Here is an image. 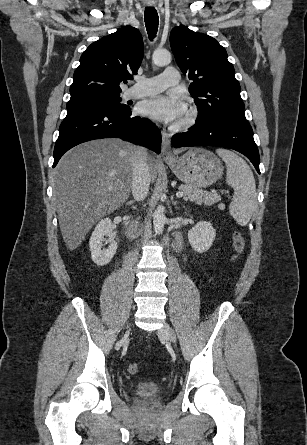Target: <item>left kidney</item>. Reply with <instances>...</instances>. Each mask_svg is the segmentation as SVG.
Wrapping results in <instances>:
<instances>
[{
    "instance_id": "left-kidney-1",
    "label": "left kidney",
    "mask_w": 307,
    "mask_h": 445,
    "mask_svg": "<svg viewBox=\"0 0 307 445\" xmlns=\"http://www.w3.org/2000/svg\"><path fill=\"white\" fill-rule=\"evenodd\" d=\"M215 229L206 220H201L188 231L189 243L196 253H206L215 239Z\"/></svg>"
}]
</instances>
